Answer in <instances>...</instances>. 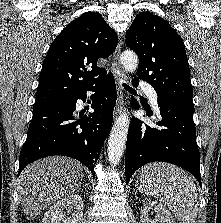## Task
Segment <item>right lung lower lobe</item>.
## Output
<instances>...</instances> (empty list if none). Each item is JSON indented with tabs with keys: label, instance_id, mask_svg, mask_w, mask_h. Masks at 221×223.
Segmentation results:
<instances>
[{
	"label": "right lung lower lobe",
	"instance_id": "right-lung-lower-lobe-1",
	"mask_svg": "<svg viewBox=\"0 0 221 223\" xmlns=\"http://www.w3.org/2000/svg\"><path fill=\"white\" fill-rule=\"evenodd\" d=\"M87 91L99 92L93 98L94 112L75 114L77 100L85 101ZM116 98L115 81L109 73L70 98L34 109L20 153L19 174L26 165L40 158L63 155L82 162L94 177V166L110 133Z\"/></svg>",
	"mask_w": 221,
	"mask_h": 223
}]
</instances>
